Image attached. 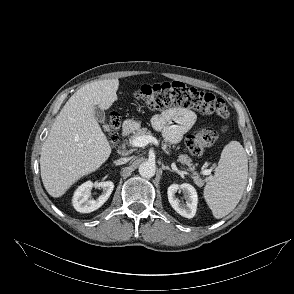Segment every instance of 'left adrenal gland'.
I'll list each match as a JSON object with an SVG mask.
<instances>
[{
  "label": "left adrenal gland",
  "mask_w": 294,
  "mask_h": 294,
  "mask_svg": "<svg viewBox=\"0 0 294 294\" xmlns=\"http://www.w3.org/2000/svg\"><path fill=\"white\" fill-rule=\"evenodd\" d=\"M162 169L163 170H169L171 172H174L169 166H165L163 163H162Z\"/></svg>",
  "instance_id": "left-adrenal-gland-1"
}]
</instances>
